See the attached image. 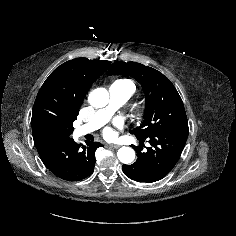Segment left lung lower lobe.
Masks as SVG:
<instances>
[{
    "label": "left lung lower lobe",
    "mask_w": 236,
    "mask_h": 236,
    "mask_svg": "<svg viewBox=\"0 0 236 236\" xmlns=\"http://www.w3.org/2000/svg\"><path fill=\"white\" fill-rule=\"evenodd\" d=\"M189 133L188 124L154 134L147 139V151L141 152L140 146L134 149L137 160L131 165H123L124 174L138 182L151 183L164 178L174 168L184 149Z\"/></svg>",
    "instance_id": "obj_1"
}]
</instances>
